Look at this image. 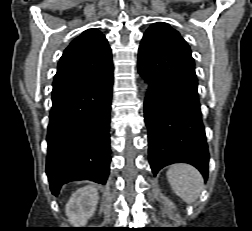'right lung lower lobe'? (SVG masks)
Instances as JSON below:
<instances>
[{"instance_id":"1","label":"right lung lower lobe","mask_w":252,"mask_h":231,"mask_svg":"<svg viewBox=\"0 0 252 231\" xmlns=\"http://www.w3.org/2000/svg\"><path fill=\"white\" fill-rule=\"evenodd\" d=\"M112 85L111 72L52 100L46 173L54 195L73 180L106 183L111 160Z\"/></svg>"}]
</instances>
